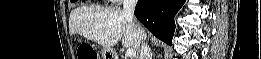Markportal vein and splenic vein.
<instances>
[{
	"instance_id": "1",
	"label": "portal vein and splenic vein",
	"mask_w": 261,
	"mask_h": 59,
	"mask_svg": "<svg viewBox=\"0 0 261 59\" xmlns=\"http://www.w3.org/2000/svg\"><path fill=\"white\" fill-rule=\"evenodd\" d=\"M126 56L131 59L134 58L136 56V50L133 48L127 49Z\"/></svg>"
}]
</instances>
